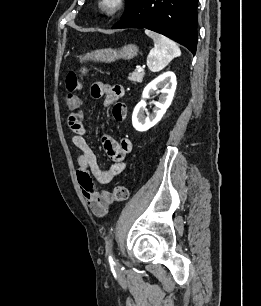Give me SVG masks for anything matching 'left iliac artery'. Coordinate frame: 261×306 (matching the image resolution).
Wrapping results in <instances>:
<instances>
[{
	"label": "left iliac artery",
	"mask_w": 261,
	"mask_h": 306,
	"mask_svg": "<svg viewBox=\"0 0 261 306\" xmlns=\"http://www.w3.org/2000/svg\"><path fill=\"white\" fill-rule=\"evenodd\" d=\"M109 260H110V261H112V260H113L111 255L109 256Z\"/></svg>",
	"instance_id": "obj_1"
}]
</instances>
